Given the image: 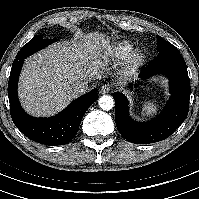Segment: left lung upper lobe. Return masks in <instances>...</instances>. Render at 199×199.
Returning a JSON list of instances; mask_svg holds the SVG:
<instances>
[{
    "label": "left lung upper lobe",
    "instance_id": "left-lung-upper-lobe-1",
    "mask_svg": "<svg viewBox=\"0 0 199 199\" xmlns=\"http://www.w3.org/2000/svg\"><path fill=\"white\" fill-rule=\"evenodd\" d=\"M157 50L159 52L158 55L165 53L179 52V50L174 45L164 40L160 36H158L157 40Z\"/></svg>",
    "mask_w": 199,
    "mask_h": 199
}]
</instances>
